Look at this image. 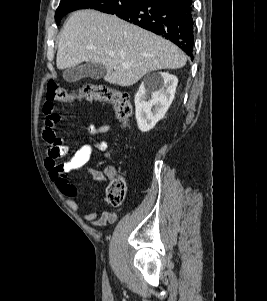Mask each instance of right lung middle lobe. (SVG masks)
Returning a JSON list of instances; mask_svg holds the SVG:
<instances>
[{"mask_svg": "<svg viewBox=\"0 0 267 301\" xmlns=\"http://www.w3.org/2000/svg\"><path fill=\"white\" fill-rule=\"evenodd\" d=\"M140 0H61L55 19L59 24L68 12L78 9H95L109 14H119L133 8Z\"/></svg>", "mask_w": 267, "mask_h": 301, "instance_id": "dd1d6c3e", "label": "right lung middle lobe"}]
</instances>
